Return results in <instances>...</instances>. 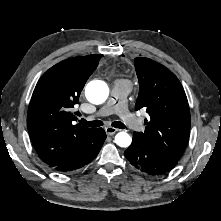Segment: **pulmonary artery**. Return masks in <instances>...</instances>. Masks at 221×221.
I'll use <instances>...</instances> for the list:
<instances>
[{"label":"pulmonary artery","instance_id":"e3ab8cb5","mask_svg":"<svg viewBox=\"0 0 221 221\" xmlns=\"http://www.w3.org/2000/svg\"><path fill=\"white\" fill-rule=\"evenodd\" d=\"M132 86L128 81L116 80L112 86L110 99L96 113V116H107L116 113L122 122L135 131H141L143 122L128 110L126 98L131 92Z\"/></svg>","mask_w":221,"mask_h":221}]
</instances>
